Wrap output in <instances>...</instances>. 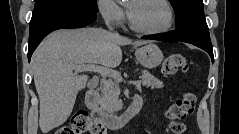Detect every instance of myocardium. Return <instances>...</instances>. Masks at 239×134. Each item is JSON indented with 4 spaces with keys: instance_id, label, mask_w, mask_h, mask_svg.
<instances>
[{
    "instance_id": "f54148a6",
    "label": "myocardium",
    "mask_w": 239,
    "mask_h": 134,
    "mask_svg": "<svg viewBox=\"0 0 239 134\" xmlns=\"http://www.w3.org/2000/svg\"><path fill=\"white\" fill-rule=\"evenodd\" d=\"M152 1L160 3L166 9L167 12L166 23L162 27L157 29H145L134 24L129 15V26L133 31L145 35H159L167 32L172 27L174 22V12L170 3L166 0H152Z\"/></svg>"
}]
</instances>
